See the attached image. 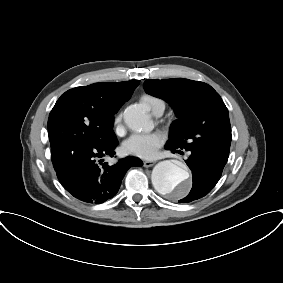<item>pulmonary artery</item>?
Masks as SVG:
<instances>
[{
    "label": "pulmonary artery",
    "mask_w": 283,
    "mask_h": 283,
    "mask_svg": "<svg viewBox=\"0 0 283 283\" xmlns=\"http://www.w3.org/2000/svg\"><path fill=\"white\" fill-rule=\"evenodd\" d=\"M164 108H159L157 111L154 112L155 115L159 116L163 113Z\"/></svg>",
    "instance_id": "pulmonary-artery-1"
}]
</instances>
